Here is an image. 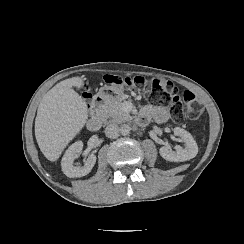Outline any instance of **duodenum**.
Wrapping results in <instances>:
<instances>
[{"mask_svg":"<svg viewBox=\"0 0 244 244\" xmlns=\"http://www.w3.org/2000/svg\"><path fill=\"white\" fill-rule=\"evenodd\" d=\"M111 97L108 92H102L95 96L91 102L92 115L88 119L87 127L88 130L95 132L97 131L105 122V105L107 100ZM139 121L144 122L141 117Z\"/></svg>","mask_w":244,"mask_h":244,"instance_id":"410a0bca","label":"duodenum"}]
</instances>
